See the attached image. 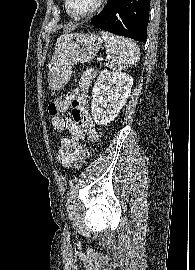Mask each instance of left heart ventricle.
<instances>
[{
	"label": "left heart ventricle",
	"instance_id": "b2bd125f",
	"mask_svg": "<svg viewBox=\"0 0 195 270\" xmlns=\"http://www.w3.org/2000/svg\"><path fill=\"white\" fill-rule=\"evenodd\" d=\"M98 0H70V6L74 13L85 14L91 11Z\"/></svg>",
	"mask_w": 195,
	"mask_h": 270
}]
</instances>
